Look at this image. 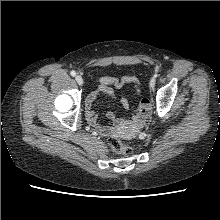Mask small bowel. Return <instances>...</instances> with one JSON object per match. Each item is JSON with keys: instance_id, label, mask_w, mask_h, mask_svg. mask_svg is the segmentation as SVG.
I'll return each instance as SVG.
<instances>
[{"instance_id": "1", "label": "small bowel", "mask_w": 220, "mask_h": 220, "mask_svg": "<svg viewBox=\"0 0 220 220\" xmlns=\"http://www.w3.org/2000/svg\"><path fill=\"white\" fill-rule=\"evenodd\" d=\"M127 84L131 85L134 88L137 95L140 96L142 94L141 83L133 75H125L121 78L105 76V77L100 78L97 91L90 94L85 100V117H86L87 122L91 126L96 128L103 135L109 132V127L99 122L98 117L92 108L93 101L100 95H108V96L113 97L114 88L119 89ZM145 99L146 98H142L140 101V104L137 110V116L142 115V108H143L142 102ZM119 104L123 109L129 108V102L125 97L120 98ZM108 118L110 120H114L115 116L113 113H109Z\"/></svg>"}]
</instances>
